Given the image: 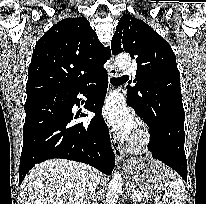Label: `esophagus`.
Returning <instances> with one entry per match:
<instances>
[{
    "label": "esophagus",
    "mask_w": 206,
    "mask_h": 204,
    "mask_svg": "<svg viewBox=\"0 0 206 204\" xmlns=\"http://www.w3.org/2000/svg\"><path fill=\"white\" fill-rule=\"evenodd\" d=\"M117 75H118V70L116 69L112 58L110 63V68H109V76L110 78H113L116 77ZM110 138H111L112 148L116 156V159L118 161H121L123 159L124 154L117 143L116 136L111 131H110Z\"/></svg>",
    "instance_id": "34e87169"
}]
</instances>
